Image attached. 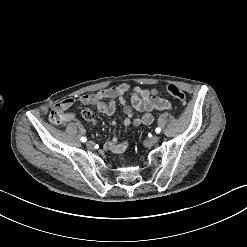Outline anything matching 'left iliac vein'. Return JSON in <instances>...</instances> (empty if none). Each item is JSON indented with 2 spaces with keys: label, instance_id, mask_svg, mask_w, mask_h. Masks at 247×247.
Listing matches in <instances>:
<instances>
[{
  "label": "left iliac vein",
  "instance_id": "4c4485c4",
  "mask_svg": "<svg viewBox=\"0 0 247 247\" xmlns=\"http://www.w3.org/2000/svg\"><path fill=\"white\" fill-rule=\"evenodd\" d=\"M158 140H159L158 135H154V136H152L150 139H148L147 141H145V144H146L147 146H151V145H153V144H156V143L158 142Z\"/></svg>",
  "mask_w": 247,
  "mask_h": 247
}]
</instances>
